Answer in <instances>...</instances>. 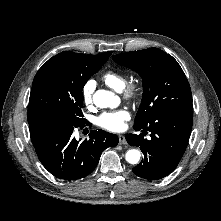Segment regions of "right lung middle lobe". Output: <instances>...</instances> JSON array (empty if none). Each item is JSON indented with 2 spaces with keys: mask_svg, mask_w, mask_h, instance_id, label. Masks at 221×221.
<instances>
[{
  "mask_svg": "<svg viewBox=\"0 0 221 221\" xmlns=\"http://www.w3.org/2000/svg\"><path fill=\"white\" fill-rule=\"evenodd\" d=\"M104 63L67 51L49 59L33 80L28 123L52 119L72 126L83 124V87Z\"/></svg>",
  "mask_w": 221,
  "mask_h": 221,
  "instance_id": "obj_1",
  "label": "right lung middle lobe"
}]
</instances>
